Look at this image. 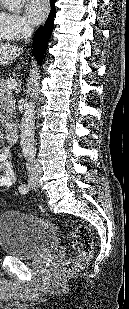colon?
Here are the masks:
<instances>
[{
  "instance_id": "5ec220e1",
  "label": "colon",
  "mask_w": 129,
  "mask_h": 309,
  "mask_svg": "<svg viewBox=\"0 0 129 309\" xmlns=\"http://www.w3.org/2000/svg\"><path fill=\"white\" fill-rule=\"evenodd\" d=\"M43 224L51 229L57 227L46 221ZM69 238L72 240V245L77 255L66 261L62 266V271L65 273L72 272L82 268L91 258L93 252V237L90 228L86 225H80L69 232Z\"/></svg>"
}]
</instances>
